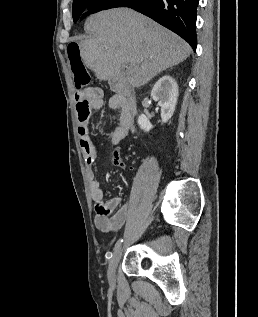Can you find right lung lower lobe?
<instances>
[{"label": "right lung lower lobe", "mask_w": 258, "mask_h": 317, "mask_svg": "<svg viewBox=\"0 0 258 317\" xmlns=\"http://www.w3.org/2000/svg\"><path fill=\"white\" fill-rule=\"evenodd\" d=\"M198 2L199 0H93L87 4L79 19L101 10L129 7L172 30L185 39L195 51Z\"/></svg>", "instance_id": "obj_1"}]
</instances>
